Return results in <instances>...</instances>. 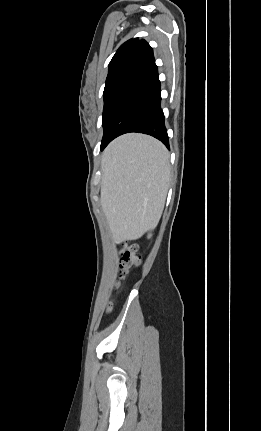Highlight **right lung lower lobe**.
<instances>
[{
  "instance_id": "obj_1",
  "label": "right lung lower lobe",
  "mask_w": 261,
  "mask_h": 431,
  "mask_svg": "<svg viewBox=\"0 0 261 431\" xmlns=\"http://www.w3.org/2000/svg\"><path fill=\"white\" fill-rule=\"evenodd\" d=\"M160 81L154 63L145 67L136 77L117 107L109 129V139L129 132L151 135L168 149L169 141L161 109Z\"/></svg>"
}]
</instances>
